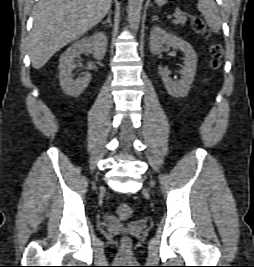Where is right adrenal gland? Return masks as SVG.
I'll return each instance as SVG.
<instances>
[{
  "mask_svg": "<svg viewBox=\"0 0 254 267\" xmlns=\"http://www.w3.org/2000/svg\"><path fill=\"white\" fill-rule=\"evenodd\" d=\"M111 14H112V11L110 10V11L108 12V18H107V20H105L104 22H102V24L109 23L110 26L112 25V24H111Z\"/></svg>",
  "mask_w": 254,
  "mask_h": 267,
  "instance_id": "obj_1",
  "label": "right adrenal gland"
}]
</instances>
